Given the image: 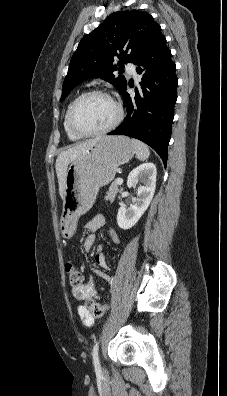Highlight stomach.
<instances>
[{"instance_id": "obj_1", "label": "stomach", "mask_w": 227, "mask_h": 396, "mask_svg": "<svg viewBox=\"0 0 227 396\" xmlns=\"http://www.w3.org/2000/svg\"><path fill=\"white\" fill-rule=\"evenodd\" d=\"M135 154L125 136H104L71 162L65 178L63 212L59 229L63 238H71L79 216L94 204L98 190L115 177L116 169Z\"/></svg>"}]
</instances>
